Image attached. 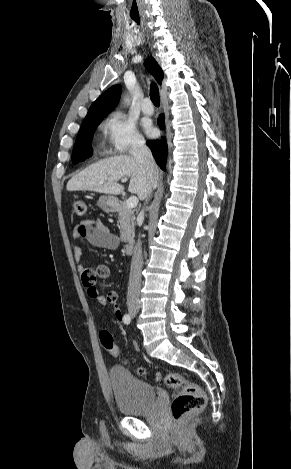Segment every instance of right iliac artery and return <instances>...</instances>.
Masks as SVG:
<instances>
[{
  "instance_id": "82829eb1",
  "label": "right iliac artery",
  "mask_w": 291,
  "mask_h": 469,
  "mask_svg": "<svg viewBox=\"0 0 291 469\" xmlns=\"http://www.w3.org/2000/svg\"><path fill=\"white\" fill-rule=\"evenodd\" d=\"M123 322H124L125 324H127V325L130 324V322H131V317H130L129 314H125V315H124V317H123Z\"/></svg>"
}]
</instances>
